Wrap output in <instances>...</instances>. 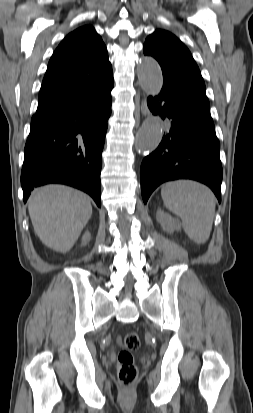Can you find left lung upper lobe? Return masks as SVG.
Returning a JSON list of instances; mask_svg holds the SVG:
<instances>
[{"mask_svg": "<svg viewBox=\"0 0 253 413\" xmlns=\"http://www.w3.org/2000/svg\"><path fill=\"white\" fill-rule=\"evenodd\" d=\"M144 54L153 56L163 77L187 82L205 90V83L188 48L172 33L156 30L144 43Z\"/></svg>", "mask_w": 253, "mask_h": 413, "instance_id": "obj_1", "label": "left lung upper lobe"}]
</instances>
